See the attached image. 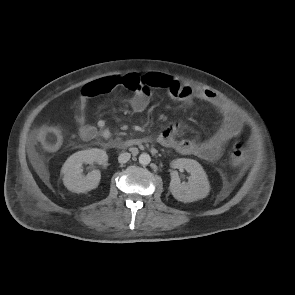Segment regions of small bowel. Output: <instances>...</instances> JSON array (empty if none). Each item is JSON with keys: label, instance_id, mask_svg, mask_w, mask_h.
<instances>
[{"label": "small bowel", "instance_id": "1", "mask_svg": "<svg viewBox=\"0 0 295 295\" xmlns=\"http://www.w3.org/2000/svg\"><path fill=\"white\" fill-rule=\"evenodd\" d=\"M125 76L127 75L103 77L91 81L81 88L75 105V122L82 139L91 140L99 136L107 141L111 138L112 131L105 120L100 119L95 125L88 121L89 103L94 97L108 93L118 85L127 88L124 83ZM135 76L139 78L140 84L138 88L130 89L132 94L129 98V104L136 113H142L147 108L152 90L161 88L165 89L173 99L179 101L186 108L191 107L195 99L205 101L216 109L221 118V125L217 131L203 141L177 139L181 125L170 123L158 136V142L162 146L172 148L181 154L194 155L206 161H214L221 156L228 141L241 132L243 120L240 114L214 92L162 73L151 72Z\"/></svg>", "mask_w": 295, "mask_h": 295}]
</instances>
